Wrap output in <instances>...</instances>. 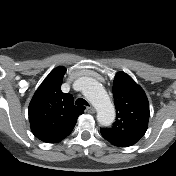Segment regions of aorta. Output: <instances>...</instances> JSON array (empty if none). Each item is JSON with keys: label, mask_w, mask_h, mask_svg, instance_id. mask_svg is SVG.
<instances>
[{"label": "aorta", "mask_w": 176, "mask_h": 176, "mask_svg": "<svg viewBox=\"0 0 176 176\" xmlns=\"http://www.w3.org/2000/svg\"><path fill=\"white\" fill-rule=\"evenodd\" d=\"M83 93L97 110V120L102 126H109L115 119V108L103 86L91 78L84 79Z\"/></svg>", "instance_id": "aorta-1"}]
</instances>
